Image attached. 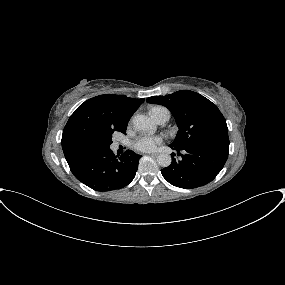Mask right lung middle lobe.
I'll return each instance as SVG.
<instances>
[{"label": "right lung middle lobe", "mask_w": 285, "mask_h": 285, "mask_svg": "<svg viewBox=\"0 0 285 285\" xmlns=\"http://www.w3.org/2000/svg\"><path fill=\"white\" fill-rule=\"evenodd\" d=\"M111 138H112V135H110L99 147L109 148L110 144L112 143Z\"/></svg>", "instance_id": "dd1d6c3e"}]
</instances>
